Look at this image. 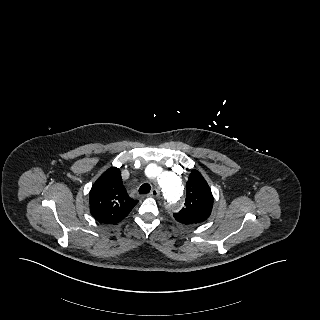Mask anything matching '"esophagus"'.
Segmentation results:
<instances>
[{"label":"esophagus","instance_id":"34e87169","mask_svg":"<svg viewBox=\"0 0 320 320\" xmlns=\"http://www.w3.org/2000/svg\"><path fill=\"white\" fill-rule=\"evenodd\" d=\"M160 195V191L156 188L152 189L151 192L148 194L150 197H158Z\"/></svg>","mask_w":320,"mask_h":320}]
</instances>
